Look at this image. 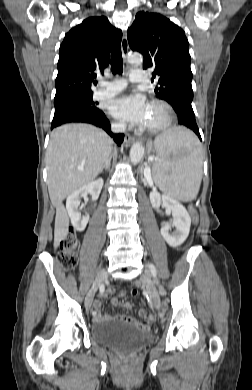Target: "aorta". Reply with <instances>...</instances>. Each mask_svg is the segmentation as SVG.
Instances as JSON below:
<instances>
[{
  "instance_id": "762f6f07",
  "label": "aorta",
  "mask_w": 252,
  "mask_h": 390,
  "mask_svg": "<svg viewBox=\"0 0 252 390\" xmlns=\"http://www.w3.org/2000/svg\"><path fill=\"white\" fill-rule=\"evenodd\" d=\"M143 61V58L141 55L133 53L128 56V62L132 64H141ZM144 155V147L142 143L136 142L132 145L131 150H130V161L133 164H137L141 161Z\"/></svg>"
}]
</instances>
